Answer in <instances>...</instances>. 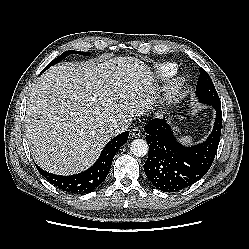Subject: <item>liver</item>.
I'll return each instance as SVG.
<instances>
[{
  "label": "liver",
  "instance_id": "liver-1",
  "mask_svg": "<svg viewBox=\"0 0 249 249\" xmlns=\"http://www.w3.org/2000/svg\"><path fill=\"white\" fill-rule=\"evenodd\" d=\"M158 87L134 57L56 65L33 85L25 132L36 163L58 175L89 168L114 136L110 127L151 109Z\"/></svg>",
  "mask_w": 249,
  "mask_h": 249
}]
</instances>
